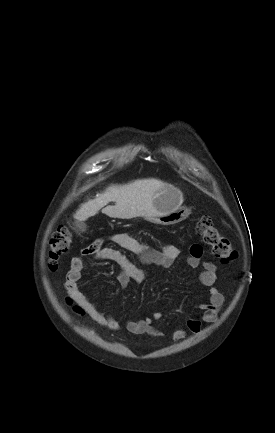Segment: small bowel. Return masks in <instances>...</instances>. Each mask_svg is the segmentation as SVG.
Returning <instances> with one entry per match:
<instances>
[{
  "mask_svg": "<svg viewBox=\"0 0 275 433\" xmlns=\"http://www.w3.org/2000/svg\"><path fill=\"white\" fill-rule=\"evenodd\" d=\"M110 240L113 244L136 254L139 257L140 262L143 264L169 267L180 254L179 248L172 244L165 245L160 250L151 249L129 232L115 233L110 236ZM202 254V246L199 244H193L190 247V256L187 259V264L191 268L202 267V271L199 274V281L203 286L208 287L209 293L208 302L200 306V309L202 310L200 318H189L186 321V326L192 334H199L202 330L203 323L215 322L224 304L223 294L217 287H215L217 268L212 262L202 261ZM84 256H92L100 261H111L118 264L121 267L118 281L122 287H126L130 281H145L148 278V273L136 266L121 251L110 247H102L100 241H95L84 247L80 255L72 258L70 269L67 273L64 284L67 292L72 299L82 306L98 324L112 331H118L120 329V323L118 320L113 316L100 311L89 296L79 287L78 282L81 278ZM162 317V312H154L151 317L127 321L126 328L133 334L148 333L154 337H159L160 333L154 328L153 321L160 320ZM185 336L186 333L182 329H175L172 332V338L174 341L183 340Z\"/></svg>",
  "mask_w": 275,
  "mask_h": 433,
  "instance_id": "obj_1",
  "label": "small bowel"
}]
</instances>
